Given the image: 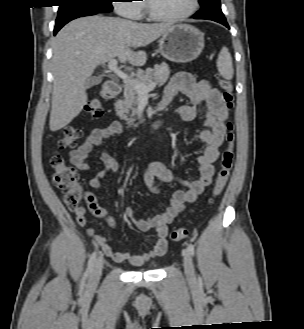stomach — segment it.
Returning <instances> with one entry per match:
<instances>
[{
    "label": "stomach",
    "mask_w": 304,
    "mask_h": 329,
    "mask_svg": "<svg viewBox=\"0 0 304 329\" xmlns=\"http://www.w3.org/2000/svg\"><path fill=\"white\" fill-rule=\"evenodd\" d=\"M204 48V35L188 24H176L159 40V51L169 61L187 63L196 59Z\"/></svg>",
    "instance_id": "stomach-1"
}]
</instances>
